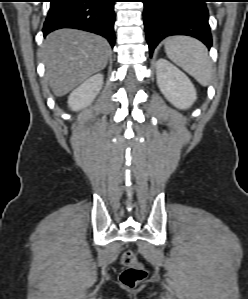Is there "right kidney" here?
<instances>
[{
  "label": "right kidney",
  "instance_id": "obj_1",
  "mask_svg": "<svg viewBox=\"0 0 248 299\" xmlns=\"http://www.w3.org/2000/svg\"><path fill=\"white\" fill-rule=\"evenodd\" d=\"M103 85V75L96 74L74 89L68 97V105L72 111L88 107L99 94Z\"/></svg>",
  "mask_w": 248,
  "mask_h": 299
}]
</instances>
